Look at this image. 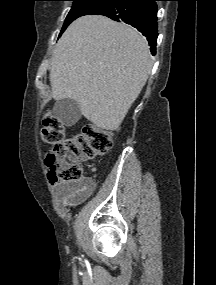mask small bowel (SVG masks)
<instances>
[{
	"label": "small bowel",
	"instance_id": "c3829d8e",
	"mask_svg": "<svg viewBox=\"0 0 216 285\" xmlns=\"http://www.w3.org/2000/svg\"><path fill=\"white\" fill-rule=\"evenodd\" d=\"M95 190V184L90 178L81 179L73 183H57L54 186L56 197L67 205H77Z\"/></svg>",
	"mask_w": 216,
	"mask_h": 285
}]
</instances>
